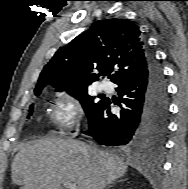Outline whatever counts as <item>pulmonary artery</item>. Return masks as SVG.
Wrapping results in <instances>:
<instances>
[{
	"instance_id": "e3ab8cb5",
	"label": "pulmonary artery",
	"mask_w": 188,
	"mask_h": 189,
	"mask_svg": "<svg viewBox=\"0 0 188 189\" xmlns=\"http://www.w3.org/2000/svg\"><path fill=\"white\" fill-rule=\"evenodd\" d=\"M99 88H100V90L108 91L110 87H109V84H108V83H101V84L99 85Z\"/></svg>"
}]
</instances>
